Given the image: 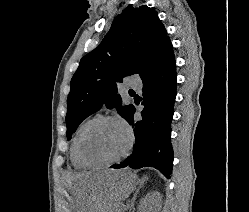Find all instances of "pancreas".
I'll return each mask as SVG.
<instances>
[{
  "mask_svg": "<svg viewBox=\"0 0 249 212\" xmlns=\"http://www.w3.org/2000/svg\"><path fill=\"white\" fill-rule=\"evenodd\" d=\"M118 208H114L112 204H106V206H102L101 212H117Z\"/></svg>",
  "mask_w": 249,
  "mask_h": 212,
  "instance_id": "1",
  "label": "pancreas"
}]
</instances>
